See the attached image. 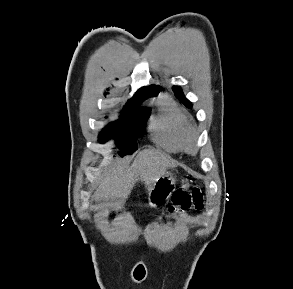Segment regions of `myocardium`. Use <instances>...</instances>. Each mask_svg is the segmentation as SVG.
<instances>
[{
	"instance_id": "f54148a6",
	"label": "myocardium",
	"mask_w": 293,
	"mask_h": 289,
	"mask_svg": "<svg viewBox=\"0 0 293 289\" xmlns=\"http://www.w3.org/2000/svg\"><path fill=\"white\" fill-rule=\"evenodd\" d=\"M197 132L190 127L184 134L183 149L194 153L196 151Z\"/></svg>"
}]
</instances>
